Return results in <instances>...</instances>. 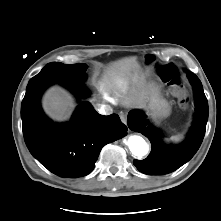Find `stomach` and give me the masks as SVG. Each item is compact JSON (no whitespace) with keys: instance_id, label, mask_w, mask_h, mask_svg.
Listing matches in <instances>:
<instances>
[{"instance_id":"0dacf381","label":"stomach","mask_w":221,"mask_h":221,"mask_svg":"<svg viewBox=\"0 0 221 221\" xmlns=\"http://www.w3.org/2000/svg\"><path fill=\"white\" fill-rule=\"evenodd\" d=\"M143 107L157 120L167 117L171 111L170 104L161 96L157 88H153Z\"/></svg>"}]
</instances>
